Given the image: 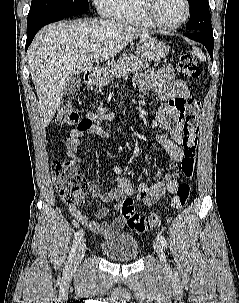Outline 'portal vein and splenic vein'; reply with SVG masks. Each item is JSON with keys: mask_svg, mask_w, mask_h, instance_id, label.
<instances>
[{"mask_svg": "<svg viewBox=\"0 0 239 303\" xmlns=\"http://www.w3.org/2000/svg\"><path fill=\"white\" fill-rule=\"evenodd\" d=\"M95 50V47L94 46H91L90 48H89V51L90 52H92V51H94Z\"/></svg>", "mask_w": 239, "mask_h": 303, "instance_id": "obj_1", "label": "portal vein and splenic vein"}]
</instances>
